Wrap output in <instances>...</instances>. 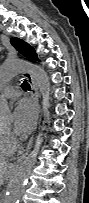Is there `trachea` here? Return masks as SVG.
Masks as SVG:
<instances>
[{"mask_svg": "<svg viewBox=\"0 0 89 203\" xmlns=\"http://www.w3.org/2000/svg\"><path fill=\"white\" fill-rule=\"evenodd\" d=\"M22 88L24 90H31V87L29 85V83L27 81H23V83L21 84Z\"/></svg>", "mask_w": 89, "mask_h": 203, "instance_id": "obj_1", "label": "trachea"}]
</instances>
